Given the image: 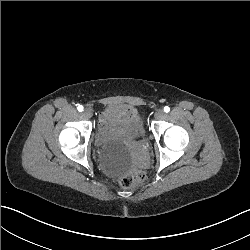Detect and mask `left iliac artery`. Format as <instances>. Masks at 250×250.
<instances>
[{
    "label": "left iliac artery",
    "instance_id": "1",
    "mask_svg": "<svg viewBox=\"0 0 250 250\" xmlns=\"http://www.w3.org/2000/svg\"><path fill=\"white\" fill-rule=\"evenodd\" d=\"M170 111V108L168 106L164 107V112L168 113Z\"/></svg>",
    "mask_w": 250,
    "mask_h": 250
}]
</instances>
